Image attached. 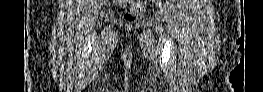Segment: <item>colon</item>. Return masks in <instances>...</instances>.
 I'll list each match as a JSON object with an SVG mask.
<instances>
[{
	"instance_id": "colon-1",
	"label": "colon",
	"mask_w": 263,
	"mask_h": 92,
	"mask_svg": "<svg viewBox=\"0 0 263 92\" xmlns=\"http://www.w3.org/2000/svg\"><path fill=\"white\" fill-rule=\"evenodd\" d=\"M130 9L124 15V19L128 22H134L138 20L144 12L143 1L141 0H130Z\"/></svg>"
}]
</instances>
